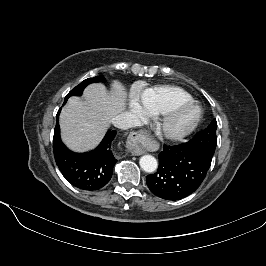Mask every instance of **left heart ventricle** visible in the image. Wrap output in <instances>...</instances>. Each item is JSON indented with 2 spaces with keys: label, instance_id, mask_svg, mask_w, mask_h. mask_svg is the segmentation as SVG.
Segmentation results:
<instances>
[{
  "label": "left heart ventricle",
  "instance_id": "left-heart-ventricle-1",
  "mask_svg": "<svg viewBox=\"0 0 266 266\" xmlns=\"http://www.w3.org/2000/svg\"><path fill=\"white\" fill-rule=\"evenodd\" d=\"M193 111H188L185 114H183L174 124L175 128H182L184 127L192 118Z\"/></svg>",
  "mask_w": 266,
  "mask_h": 266
}]
</instances>
